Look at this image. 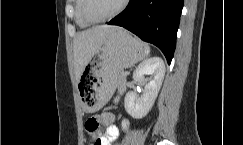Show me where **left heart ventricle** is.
<instances>
[{
  "mask_svg": "<svg viewBox=\"0 0 243 145\" xmlns=\"http://www.w3.org/2000/svg\"><path fill=\"white\" fill-rule=\"evenodd\" d=\"M123 0H89L88 14L92 19H103L115 12Z\"/></svg>",
  "mask_w": 243,
  "mask_h": 145,
  "instance_id": "b2bd125f",
  "label": "left heart ventricle"
}]
</instances>
